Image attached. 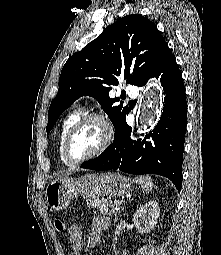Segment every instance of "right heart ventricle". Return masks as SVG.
Returning <instances> with one entry per match:
<instances>
[{"label":"right heart ventricle","instance_id":"right-heart-ventricle-1","mask_svg":"<svg viewBox=\"0 0 221 255\" xmlns=\"http://www.w3.org/2000/svg\"><path fill=\"white\" fill-rule=\"evenodd\" d=\"M80 117H81V111L79 108H76L66 115V117L63 119V121L60 125L58 139H57V148H58V154H59L60 161L65 166H69L71 164L68 163L63 156L64 140H65V137H66L69 129L73 126V124Z\"/></svg>","mask_w":221,"mask_h":255}]
</instances>
